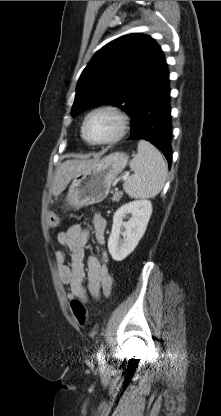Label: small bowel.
<instances>
[{"instance_id": "1", "label": "small bowel", "mask_w": 221, "mask_h": 416, "mask_svg": "<svg viewBox=\"0 0 221 416\" xmlns=\"http://www.w3.org/2000/svg\"><path fill=\"white\" fill-rule=\"evenodd\" d=\"M106 226V219L95 214L90 228L77 223L57 234V242L62 248L54 251V257L59 276L68 286L69 300L79 298L85 301L88 295L99 298L110 294L113 279L107 253L102 251L100 255L88 257L85 254L91 234L99 245L104 244ZM85 276L87 286L83 284Z\"/></svg>"}]
</instances>
